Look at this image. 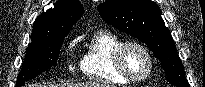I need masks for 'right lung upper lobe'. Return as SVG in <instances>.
Instances as JSON below:
<instances>
[{"mask_svg": "<svg viewBox=\"0 0 205 87\" xmlns=\"http://www.w3.org/2000/svg\"><path fill=\"white\" fill-rule=\"evenodd\" d=\"M83 13L84 8L79 1H57L54 8L48 9L36 18L33 24L32 40L67 35Z\"/></svg>", "mask_w": 205, "mask_h": 87, "instance_id": "right-lung-upper-lobe-1", "label": "right lung upper lobe"}]
</instances>
